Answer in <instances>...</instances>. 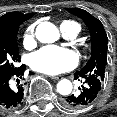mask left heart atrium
Returning a JSON list of instances; mask_svg holds the SVG:
<instances>
[{
    "label": "left heart atrium",
    "mask_w": 117,
    "mask_h": 117,
    "mask_svg": "<svg viewBox=\"0 0 117 117\" xmlns=\"http://www.w3.org/2000/svg\"><path fill=\"white\" fill-rule=\"evenodd\" d=\"M76 55L69 49L46 46L31 55L30 66L39 72L56 75L74 68Z\"/></svg>",
    "instance_id": "obj_1"
}]
</instances>
